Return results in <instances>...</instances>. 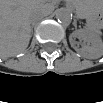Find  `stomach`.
I'll return each mask as SVG.
<instances>
[{
	"mask_svg": "<svg viewBox=\"0 0 103 103\" xmlns=\"http://www.w3.org/2000/svg\"><path fill=\"white\" fill-rule=\"evenodd\" d=\"M81 5H82L84 8L88 9V10H89L91 7L94 6L93 3H89V2H83V3H81Z\"/></svg>",
	"mask_w": 103,
	"mask_h": 103,
	"instance_id": "stomach-1",
	"label": "stomach"
}]
</instances>
